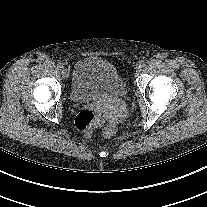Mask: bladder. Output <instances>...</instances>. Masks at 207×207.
I'll list each match as a JSON object with an SVG mask.
<instances>
[{"label":"bladder","mask_w":207,"mask_h":207,"mask_svg":"<svg viewBox=\"0 0 207 207\" xmlns=\"http://www.w3.org/2000/svg\"><path fill=\"white\" fill-rule=\"evenodd\" d=\"M129 87L121 72L99 57L80 59L73 70L70 94L77 103L124 99Z\"/></svg>","instance_id":"1"}]
</instances>
